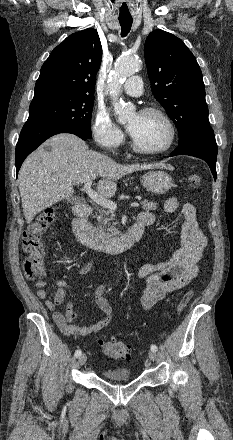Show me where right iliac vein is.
Instances as JSON below:
<instances>
[{"mask_svg":"<svg viewBox=\"0 0 233 440\" xmlns=\"http://www.w3.org/2000/svg\"><path fill=\"white\" fill-rule=\"evenodd\" d=\"M86 361H87V356H86V354H81V355L79 356V358H78V364H79L80 366H82V365H84V364L86 363Z\"/></svg>","mask_w":233,"mask_h":440,"instance_id":"obj_1","label":"right iliac vein"}]
</instances>
